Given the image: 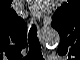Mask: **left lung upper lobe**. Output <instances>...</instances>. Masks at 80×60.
<instances>
[{
	"mask_svg": "<svg viewBox=\"0 0 80 60\" xmlns=\"http://www.w3.org/2000/svg\"><path fill=\"white\" fill-rule=\"evenodd\" d=\"M67 10L68 9L66 5L61 6L59 9L56 10L52 19V26L59 32L61 38L60 46L62 48H64L67 44V36L69 35L68 30L70 12Z\"/></svg>",
	"mask_w": 80,
	"mask_h": 60,
	"instance_id": "left-lung-upper-lobe-1",
	"label": "left lung upper lobe"
}]
</instances>
